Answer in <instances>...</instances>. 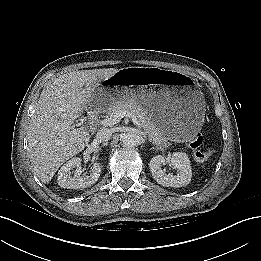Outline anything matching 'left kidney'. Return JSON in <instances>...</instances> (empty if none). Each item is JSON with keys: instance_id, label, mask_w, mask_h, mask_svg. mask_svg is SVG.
I'll use <instances>...</instances> for the list:
<instances>
[{"instance_id": "5707ae66", "label": "left kidney", "mask_w": 261, "mask_h": 261, "mask_svg": "<svg viewBox=\"0 0 261 261\" xmlns=\"http://www.w3.org/2000/svg\"><path fill=\"white\" fill-rule=\"evenodd\" d=\"M169 163L177 174L166 173L162 169V165ZM149 168L153 178L158 184L166 187H183L190 183L192 177V170L188 155L183 152H175L171 158H165L162 155L154 156L149 162Z\"/></svg>"}]
</instances>
